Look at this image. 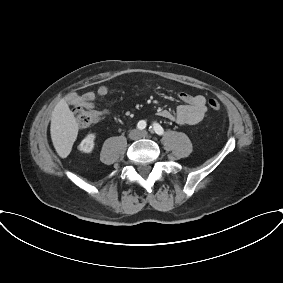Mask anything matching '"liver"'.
<instances>
[{"label":"liver","instance_id":"1","mask_svg":"<svg viewBox=\"0 0 283 283\" xmlns=\"http://www.w3.org/2000/svg\"><path fill=\"white\" fill-rule=\"evenodd\" d=\"M78 124L65 100H60L52 111L50 133L54 148L66 158L78 135Z\"/></svg>","mask_w":283,"mask_h":283}]
</instances>
